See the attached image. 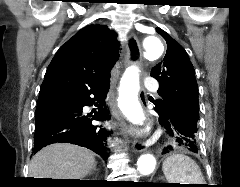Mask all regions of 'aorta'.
<instances>
[{
    "instance_id": "obj_1",
    "label": "aorta",
    "mask_w": 240,
    "mask_h": 187,
    "mask_svg": "<svg viewBox=\"0 0 240 187\" xmlns=\"http://www.w3.org/2000/svg\"><path fill=\"white\" fill-rule=\"evenodd\" d=\"M143 55L148 60L158 59L164 52V45L159 36L147 35L142 40ZM139 70L135 66L128 67L123 74L120 87L118 105L123 114L134 124H142L143 111L138 101ZM156 167V159L152 154H143L137 161V169L142 175L151 174Z\"/></svg>"
}]
</instances>
